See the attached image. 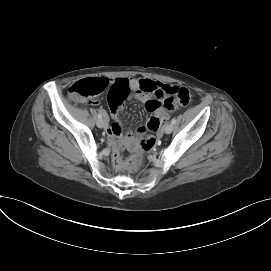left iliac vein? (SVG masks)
<instances>
[{
	"label": "left iliac vein",
	"mask_w": 271,
	"mask_h": 271,
	"mask_svg": "<svg viewBox=\"0 0 271 271\" xmlns=\"http://www.w3.org/2000/svg\"><path fill=\"white\" fill-rule=\"evenodd\" d=\"M172 130H173V124L172 123H168V124L165 125L164 132L166 134H170L172 132Z\"/></svg>",
	"instance_id": "4c4485c4"
}]
</instances>
